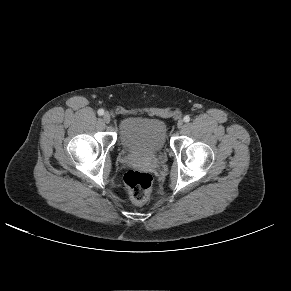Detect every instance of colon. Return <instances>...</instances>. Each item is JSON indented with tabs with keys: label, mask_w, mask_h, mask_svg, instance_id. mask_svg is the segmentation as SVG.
Wrapping results in <instances>:
<instances>
[{
	"label": "colon",
	"mask_w": 291,
	"mask_h": 291,
	"mask_svg": "<svg viewBox=\"0 0 291 291\" xmlns=\"http://www.w3.org/2000/svg\"><path fill=\"white\" fill-rule=\"evenodd\" d=\"M124 182L133 202L142 204L147 200L152 186V176L150 174L130 170L125 174Z\"/></svg>",
	"instance_id": "5ec220e1"
}]
</instances>
